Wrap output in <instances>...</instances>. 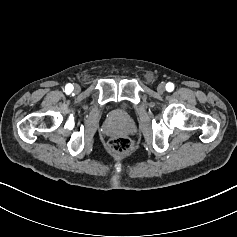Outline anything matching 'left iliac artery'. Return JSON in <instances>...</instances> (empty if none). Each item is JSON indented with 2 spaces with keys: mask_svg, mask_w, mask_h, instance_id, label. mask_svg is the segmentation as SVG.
Here are the masks:
<instances>
[{
  "mask_svg": "<svg viewBox=\"0 0 237 237\" xmlns=\"http://www.w3.org/2000/svg\"><path fill=\"white\" fill-rule=\"evenodd\" d=\"M173 89H174V84L173 83L169 82V83L166 84V90L168 92L173 91Z\"/></svg>",
  "mask_w": 237,
  "mask_h": 237,
  "instance_id": "1",
  "label": "left iliac artery"
}]
</instances>
